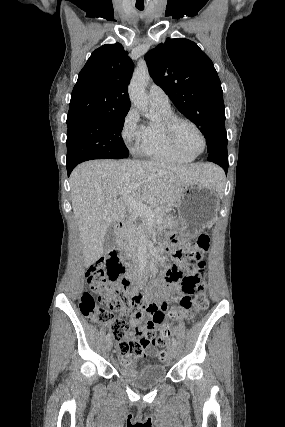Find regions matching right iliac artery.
I'll list each match as a JSON object with an SVG mask.
<instances>
[{"label": "right iliac artery", "instance_id": "right-iliac-artery-1", "mask_svg": "<svg viewBox=\"0 0 285 427\" xmlns=\"http://www.w3.org/2000/svg\"><path fill=\"white\" fill-rule=\"evenodd\" d=\"M110 338V333H108L107 335H106V340H108Z\"/></svg>", "mask_w": 285, "mask_h": 427}]
</instances>
